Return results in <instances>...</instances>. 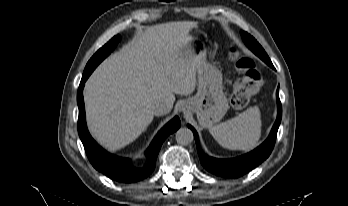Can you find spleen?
I'll return each instance as SVG.
<instances>
[{
  "instance_id": "3e777b00",
  "label": "spleen",
  "mask_w": 348,
  "mask_h": 206,
  "mask_svg": "<svg viewBox=\"0 0 348 206\" xmlns=\"http://www.w3.org/2000/svg\"><path fill=\"white\" fill-rule=\"evenodd\" d=\"M210 133L223 148L250 151L261 137L260 110L249 108L237 117L211 127Z\"/></svg>"
}]
</instances>
